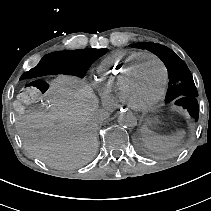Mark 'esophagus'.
Returning a JSON list of instances; mask_svg holds the SVG:
<instances>
[{
    "label": "esophagus",
    "mask_w": 211,
    "mask_h": 211,
    "mask_svg": "<svg viewBox=\"0 0 211 211\" xmlns=\"http://www.w3.org/2000/svg\"><path fill=\"white\" fill-rule=\"evenodd\" d=\"M130 111H131V108H130V106H128V105L120 106V107H118V109H117V112H118V114H120V115L128 114V113H130Z\"/></svg>",
    "instance_id": "34e87169"
}]
</instances>
